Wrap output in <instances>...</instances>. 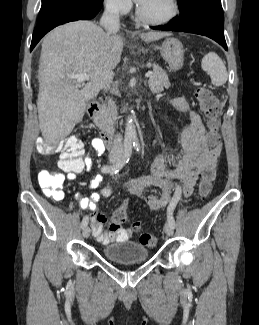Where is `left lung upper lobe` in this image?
<instances>
[{
    "instance_id": "obj_1",
    "label": "left lung upper lobe",
    "mask_w": 259,
    "mask_h": 325,
    "mask_svg": "<svg viewBox=\"0 0 259 325\" xmlns=\"http://www.w3.org/2000/svg\"><path fill=\"white\" fill-rule=\"evenodd\" d=\"M190 0H177L180 10H184ZM220 1V0H218Z\"/></svg>"
}]
</instances>
